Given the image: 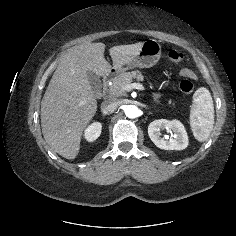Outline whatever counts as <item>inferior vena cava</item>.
Returning a JSON list of instances; mask_svg holds the SVG:
<instances>
[{
    "mask_svg": "<svg viewBox=\"0 0 236 236\" xmlns=\"http://www.w3.org/2000/svg\"><path fill=\"white\" fill-rule=\"evenodd\" d=\"M119 101L116 100L115 98H109L102 102L101 104V111L104 115L113 113L117 107L119 106Z\"/></svg>",
    "mask_w": 236,
    "mask_h": 236,
    "instance_id": "inferior-vena-cava-1",
    "label": "inferior vena cava"
}]
</instances>
